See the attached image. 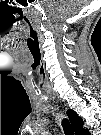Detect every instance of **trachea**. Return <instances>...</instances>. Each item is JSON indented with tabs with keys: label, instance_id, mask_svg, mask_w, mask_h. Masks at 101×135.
<instances>
[{
	"label": "trachea",
	"instance_id": "3493384b",
	"mask_svg": "<svg viewBox=\"0 0 101 135\" xmlns=\"http://www.w3.org/2000/svg\"><path fill=\"white\" fill-rule=\"evenodd\" d=\"M62 127L66 135H72L74 133L69 121L67 119L62 120Z\"/></svg>",
	"mask_w": 101,
	"mask_h": 135
}]
</instances>
